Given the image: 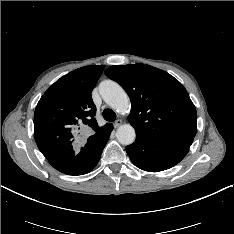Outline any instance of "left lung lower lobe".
Listing matches in <instances>:
<instances>
[{
    "label": "left lung lower lobe",
    "mask_w": 234,
    "mask_h": 234,
    "mask_svg": "<svg viewBox=\"0 0 234 234\" xmlns=\"http://www.w3.org/2000/svg\"><path fill=\"white\" fill-rule=\"evenodd\" d=\"M194 137L136 135L126 147L131 161L138 168L158 172L179 163L189 151Z\"/></svg>",
    "instance_id": "1"
}]
</instances>
